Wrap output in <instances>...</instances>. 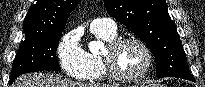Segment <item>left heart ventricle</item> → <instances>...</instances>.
Here are the masks:
<instances>
[{"instance_id":"obj_1","label":"left heart ventricle","mask_w":205,"mask_h":87,"mask_svg":"<svg viewBox=\"0 0 205 87\" xmlns=\"http://www.w3.org/2000/svg\"><path fill=\"white\" fill-rule=\"evenodd\" d=\"M146 64V56L142 48L135 43L125 44L117 53L116 65L125 75L138 74Z\"/></svg>"}]
</instances>
